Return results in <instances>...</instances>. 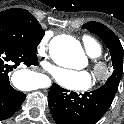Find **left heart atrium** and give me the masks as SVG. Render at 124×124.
<instances>
[{
    "instance_id": "left-heart-atrium-1",
    "label": "left heart atrium",
    "mask_w": 124,
    "mask_h": 124,
    "mask_svg": "<svg viewBox=\"0 0 124 124\" xmlns=\"http://www.w3.org/2000/svg\"><path fill=\"white\" fill-rule=\"evenodd\" d=\"M51 75L61 86L71 90L87 89L92 83L91 74L85 70L52 69Z\"/></svg>"
}]
</instances>
